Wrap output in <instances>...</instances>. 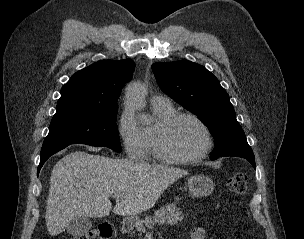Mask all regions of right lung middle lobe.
<instances>
[{"instance_id":"1","label":"right lung middle lobe","mask_w":304,"mask_h":239,"mask_svg":"<svg viewBox=\"0 0 304 239\" xmlns=\"http://www.w3.org/2000/svg\"><path fill=\"white\" fill-rule=\"evenodd\" d=\"M118 106L76 108L56 112L43 147L70 144L105 146L121 152L116 125Z\"/></svg>"}]
</instances>
